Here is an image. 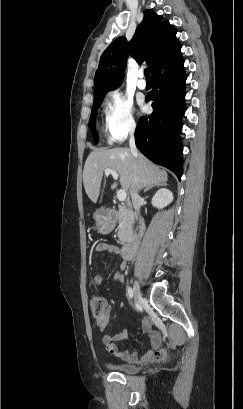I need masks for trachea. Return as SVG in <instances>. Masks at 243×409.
Here are the masks:
<instances>
[{"label": "trachea", "instance_id": "trachea-1", "mask_svg": "<svg viewBox=\"0 0 243 409\" xmlns=\"http://www.w3.org/2000/svg\"><path fill=\"white\" fill-rule=\"evenodd\" d=\"M144 74H145L146 80H151L150 69L149 68H146L144 70Z\"/></svg>", "mask_w": 243, "mask_h": 409}]
</instances>
